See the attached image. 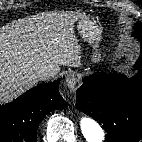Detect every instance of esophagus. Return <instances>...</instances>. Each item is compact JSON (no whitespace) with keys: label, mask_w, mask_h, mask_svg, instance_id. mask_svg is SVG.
<instances>
[{"label":"esophagus","mask_w":142,"mask_h":142,"mask_svg":"<svg viewBox=\"0 0 142 142\" xmlns=\"http://www.w3.org/2000/svg\"><path fill=\"white\" fill-rule=\"evenodd\" d=\"M80 82V77L75 73H70L66 76V85L70 89H75Z\"/></svg>","instance_id":"esophagus-1"}]
</instances>
